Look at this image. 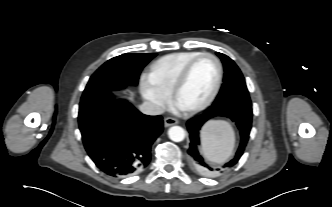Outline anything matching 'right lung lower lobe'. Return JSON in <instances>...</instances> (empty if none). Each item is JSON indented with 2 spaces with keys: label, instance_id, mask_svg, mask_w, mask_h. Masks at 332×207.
Segmentation results:
<instances>
[{
  "label": "right lung lower lobe",
  "instance_id": "right-lung-lower-lobe-1",
  "mask_svg": "<svg viewBox=\"0 0 332 207\" xmlns=\"http://www.w3.org/2000/svg\"><path fill=\"white\" fill-rule=\"evenodd\" d=\"M79 128L95 165L113 177L135 174L148 166L151 146L163 131L161 116H148L127 101L105 92L80 102Z\"/></svg>",
  "mask_w": 332,
  "mask_h": 207
}]
</instances>
